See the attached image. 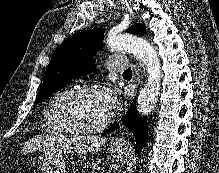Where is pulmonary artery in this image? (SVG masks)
Instances as JSON below:
<instances>
[{
	"label": "pulmonary artery",
	"instance_id": "1",
	"mask_svg": "<svg viewBox=\"0 0 219 173\" xmlns=\"http://www.w3.org/2000/svg\"><path fill=\"white\" fill-rule=\"evenodd\" d=\"M106 67L110 71H124L128 69V60L121 56H110L106 61Z\"/></svg>",
	"mask_w": 219,
	"mask_h": 173
}]
</instances>
